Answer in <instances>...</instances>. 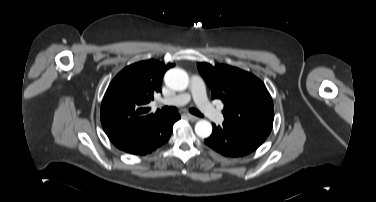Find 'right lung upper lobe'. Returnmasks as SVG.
Wrapping results in <instances>:
<instances>
[{"mask_svg": "<svg viewBox=\"0 0 376 202\" xmlns=\"http://www.w3.org/2000/svg\"><path fill=\"white\" fill-rule=\"evenodd\" d=\"M174 64L147 60L119 72L101 103V123L111 142H117L139 127L165 115L150 113L147 104L161 91L164 73Z\"/></svg>", "mask_w": 376, "mask_h": 202, "instance_id": "cb5924a9", "label": "right lung upper lobe"}]
</instances>
